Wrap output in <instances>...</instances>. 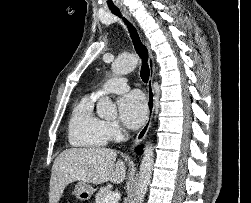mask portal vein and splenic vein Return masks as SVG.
Here are the masks:
<instances>
[{"mask_svg": "<svg viewBox=\"0 0 251 203\" xmlns=\"http://www.w3.org/2000/svg\"><path fill=\"white\" fill-rule=\"evenodd\" d=\"M119 198L120 194L118 192H112L105 197L104 203H117Z\"/></svg>", "mask_w": 251, "mask_h": 203, "instance_id": "portal-vein-and-splenic-vein-1", "label": "portal vein and splenic vein"}]
</instances>
